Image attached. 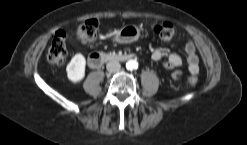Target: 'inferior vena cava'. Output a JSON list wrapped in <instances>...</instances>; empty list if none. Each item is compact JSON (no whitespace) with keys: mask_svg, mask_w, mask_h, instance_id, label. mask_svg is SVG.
Returning <instances> with one entry per match:
<instances>
[{"mask_svg":"<svg viewBox=\"0 0 247 145\" xmlns=\"http://www.w3.org/2000/svg\"><path fill=\"white\" fill-rule=\"evenodd\" d=\"M120 68H121V65L118 61H110L106 65V69L110 73L117 72L120 70Z\"/></svg>","mask_w":247,"mask_h":145,"instance_id":"1","label":"inferior vena cava"}]
</instances>
